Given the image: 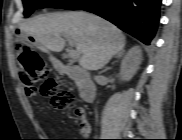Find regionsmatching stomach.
<instances>
[{"mask_svg": "<svg viewBox=\"0 0 182 140\" xmlns=\"http://www.w3.org/2000/svg\"><path fill=\"white\" fill-rule=\"evenodd\" d=\"M18 35H21V32H18Z\"/></svg>", "mask_w": 182, "mask_h": 140, "instance_id": "obj_1", "label": "stomach"}]
</instances>
